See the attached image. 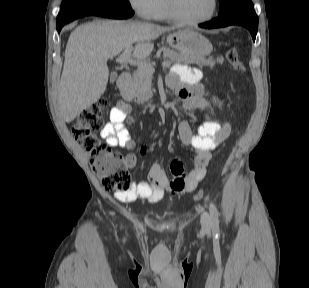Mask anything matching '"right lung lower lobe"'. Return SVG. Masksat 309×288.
Here are the masks:
<instances>
[{
    "label": "right lung lower lobe",
    "instance_id": "98d812e1",
    "mask_svg": "<svg viewBox=\"0 0 309 288\" xmlns=\"http://www.w3.org/2000/svg\"><path fill=\"white\" fill-rule=\"evenodd\" d=\"M90 15H95V16H103V17H108V18H114V19H126L130 18L133 15L132 9L128 8H121V7H110V6H95V7H90L87 9H84L77 14H74L70 18H68L66 21L57 24V30L58 32L61 31L62 27L77 19L81 18L84 16H90Z\"/></svg>",
    "mask_w": 309,
    "mask_h": 288
}]
</instances>
